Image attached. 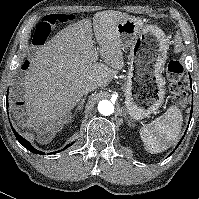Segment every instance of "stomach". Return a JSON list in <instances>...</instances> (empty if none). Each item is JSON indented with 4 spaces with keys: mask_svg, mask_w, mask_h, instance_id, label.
Instances as JSON below:
<instances>
[{
    "mask_svg": "<svg viewBox=\"0 0 199 199\" xmlns=\"http://www.w3.org/2000/svg\"><path fill=\"white\" fill-rule=\"evenodd\" d=\"M122 48L130 49L127 81L124 86L126 111L134 120L155 114L165 98L162 73L167 60L168 41L155 25L127 17L117 24Z\"/></svg>",
    "mask_w": 199,
    "mask_h": 199,
    "instance_id": "0dacf381",
    "label": "stomach"
}]
</instances>
